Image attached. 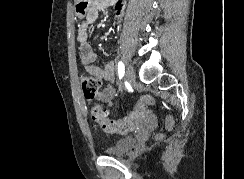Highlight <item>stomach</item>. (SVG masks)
Returning a JSON list of instances; mask_svg holds the SVG:
<instances>
[{
  "mask_svg": "<svg viewBox=\"0 0 244 179\" xmlns=\"http://www.w3.org/2000/svg\"><path fill=\"white\" fill-rule=\"evenodd\" d=\"M90 2L91 0H77V8H79V10H76L77 18H84Z\"/></svg>",
  "mask_w": 244,
  "mask_h": 179,
  "instance_id": "stomach-1",
  "label": "stomach"
}]
</instances>
